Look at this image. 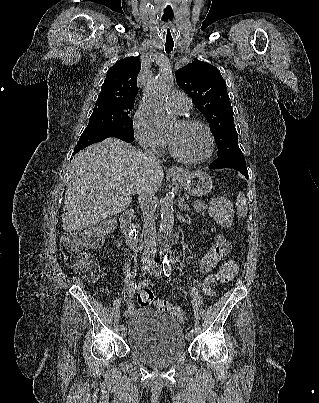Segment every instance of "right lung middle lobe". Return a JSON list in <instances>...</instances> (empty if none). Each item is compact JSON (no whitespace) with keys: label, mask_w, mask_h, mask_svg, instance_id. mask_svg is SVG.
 Returning a JSON list of instances; mask_svg holds the SVG:
<instances>
[{"label":"right lung middle lobe","mask_w":319,"mask_h":403,"mask_svg":"<svg viewBox=\"0 0 319 403\" xmlns=\"http://www.w3.org/2000/svg\"><path fill=\"white\" fill-rule=\"evenodd\" d=\"M133 108L134 104L96 102L87 127L117 126L133 133Z\"/></svg>","instance_id":"right-lung-middle-lobe-1"}]
</instances>
